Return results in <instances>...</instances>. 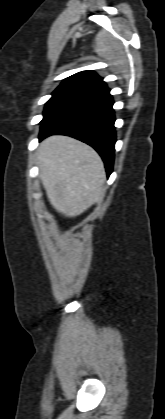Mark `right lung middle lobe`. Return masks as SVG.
Here are the masks:
<instances>
[{"label": "right lung middle lobe", "instance_id": "dd1d6c3e", "mask_svg": "<svg viewBox=\"0 0 165 419\" xmlns=\"http://www.w3.org/2000/svg\"><path fill=\"white\" fill-rule=\"evenodd\" d=\"M81 97L83 96L79 93L56 89L53 92L52 97L46 103L44 114H43L44 117H43V120L41 121V124H43L44 121L50 115L64 108L65 106L71 104L72 102L78 100Z\"/></svg>", "mask_w": 165, "mask_h": 419}]
</instances>
